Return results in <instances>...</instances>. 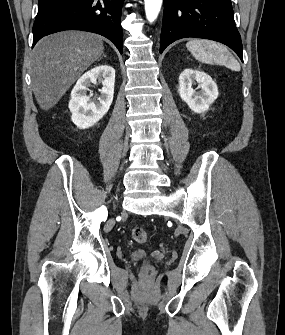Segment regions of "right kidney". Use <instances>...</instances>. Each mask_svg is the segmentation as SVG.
Instances as JSON below:
<instances>
[{"instance_id":"1","label":"right kidney","mask_w":285,"mask_h":335,"mask_svg":"<svg viewBox=\"0 0 285 335\" xmlns=\"http://www.w3.org/2000/svg\"><path fill=\"white\" fill-rule=\"evenodd\" d=\"M97 80L102 82L103 88L99 90L101 96L97 100H92L91 94L90 96H86V94L90 92V84H96ZM114 84L115 70L106 64L95 66L79 78L71 92L69 102L71 120L77 128H81V130L91 128L107 114L113 102Z\"/></svg>"}]
</instances>
